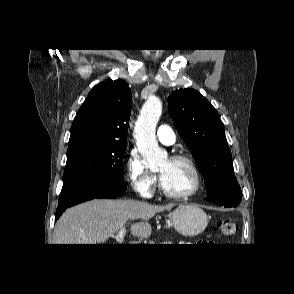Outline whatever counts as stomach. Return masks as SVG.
Masks as SVG:
<instances>
[{
  "label": "stomach",
  "mask_w": 294,
  "mask_h": 294,
  "mask_svg": "<svg viewBox=\"0 0 294 294\" xmlns=\"http://www.w3.org/2000/svg\"><path fill=\"white\" fill-rule=\"evenodd\" d=\"M174 228L184 236H196L208 225L206 213L195 204L179 205L171 213Z\"/></svg>",
  "instance_id": "stomach-1"
}]
</instances>
